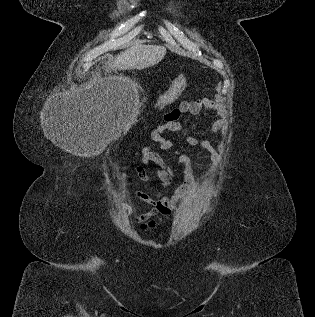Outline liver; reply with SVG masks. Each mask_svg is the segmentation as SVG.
<instances>
[{
    "label": "liver",
    "mask_w": 315,
    "mask_h": 317,
    "mask_svg": "<svg viewBox=\"0 0 315 317\" xmlns=\"http://www.w3.org/2000/svg\"><path fill=\"white\" fill-rule=\"evenodd\" d=\"M166 55V48L158 45H133L119 54L111 69L142 70L158 64ZM122 101L127 99V90L122 94Z\"/></svg>",
    "instance_id": "liver-1"
}]
</instances>
